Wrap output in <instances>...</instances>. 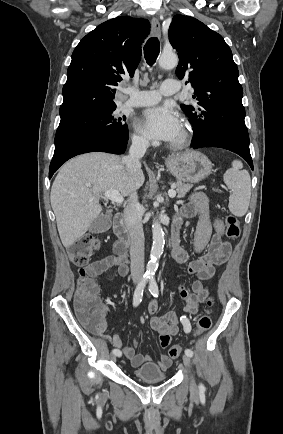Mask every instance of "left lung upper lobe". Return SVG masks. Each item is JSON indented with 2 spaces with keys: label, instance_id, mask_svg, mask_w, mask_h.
<instances>
[{
  "label": "left lung upper lobe",
  "instance_id": "1",
  "mask_svg": "<svg viewBox=\"0 0 283 434\" xmlns=\"http://www.w3.org/2000/svg\"><path fill=\"white\" fill-rule=\"evenodd\" d=\"M169 41L179 56L176 75L194 88L195 106L181 104L194 130L192 141L233 140L249 145L238 68L223 37L199 20L173 17Z\"/></svg>",
  "mask_w": 283,
  "mask_h": 434
}]
</instances>
